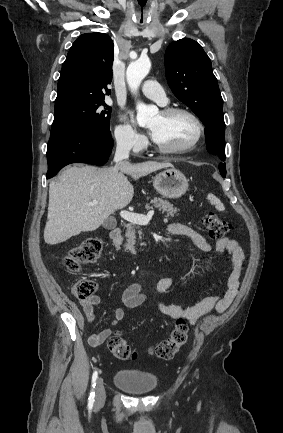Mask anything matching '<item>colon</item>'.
Instances as JSON below:
<instances>
[{"label": "colon", "instance_id": "obj_1", "mask_svg": "<svg viewBox=\"0 0 283 433\" xmlns=\"http://www.w3.org/2000/svg\"><path fill=\"white\" fill-rule=\"evenodd\" d=\"M202 222L209 237L213 240L224 238L230 230V224L212 210L204 212ZM102 247L99 238L85 239L69 251L64 258L65 267L71 272H78L83 266L95 262L100 257ZM95 290V282L82 279L74 284L72 293L77 299L83 300L94 294ZM187 340V322L184 318H178L170 336L153 346L151 354L159 359H170L187 343ZM108 348L111 354L120 360L135 359L137 356V353L119 333H115L109 338Z\"/></svg>", "mask_w": 283, "mask_h": 433}]
</instances>
